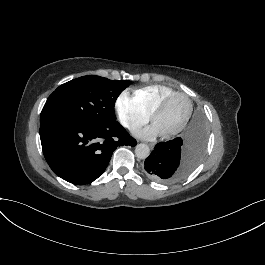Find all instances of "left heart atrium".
<instances>
[{
	"instance_id": "39dd6f15",
	"label": "left heart atrium",
	"mask_w": 265,
	"mask_h": 265,
	"mask_svg": "<svg viewBox=\"0 0 265 265\" xmlns=\"http://www.w3.org/2000/svg\"><path fill=\"white\" fill-rule=\"evenodd\" d=\"M159 129L154 125L144 130L141 135L144 137H152L159 133Z\"/></svg>"
}]
</instances>
